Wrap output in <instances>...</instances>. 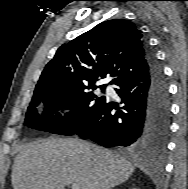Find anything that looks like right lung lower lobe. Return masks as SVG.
Listing matches in <instances>:
<instances>
[{
    "mask_svg": "<svg viewBox=\"0 0 188 189\" xmlns=\"http://www.w3.org/2000/svg\"><path fill=\"white\" fill-rule=\"evenodd\" d=\"M146 74L124 81L115 88L124 103L105 100L93 118L75 134L104 147H149L165 150L170 126V99L162 67L150 50Z\"/></svg>",
    "mask_w": 188,
    "mask_h": 189,
    "instance_id": "98d812e1",
    "label": "right lung lower lobe"
}]
</instances>
